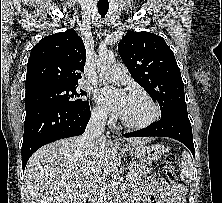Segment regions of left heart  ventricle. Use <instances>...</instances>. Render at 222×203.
<instances>
[{"label": "left heart ventricle", "instance_id": "left-heart-ventricle-1", "mask_svg": "<svg viewBox=\"0 0 222 203\" xmlns=\"http://www.w3.org/2000/svg\"><path fill=\"white\" fill-rule=\"evenodd\" d=\"M153 113L152 106L145 99L129 96L122 117L129 122L141 123L150 119Z\"/></svg>", "mask_w": 222, "mask_h": 203}]
</instances>
